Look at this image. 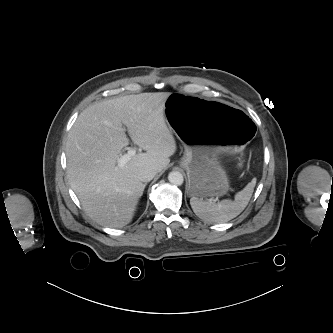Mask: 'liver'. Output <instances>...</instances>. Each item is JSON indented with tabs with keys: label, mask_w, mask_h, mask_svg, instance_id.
<instances>
[{
	"label": "liver",
	"mask_w": 333,
	"mask_h": 333,
	"mask_svg": "<svg viewBox=\"0 0 333 333\" xmlns=\"http://www.w3.org/2000/svg\"><path fill=\"white\" fill-rule=\"evenodd\" d=\"M171 93H141L102 100L87 107L68 133L67 176L83 208L96 222L121 228L131 222L144 185L140 168L158 172L167 167L176 142L165 122V102ZM132 141L146 153L124 166L117 160Z\"/></svg>",
	"instance_id": "obj_1"
}]
</instances>
